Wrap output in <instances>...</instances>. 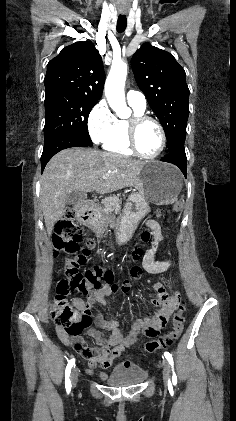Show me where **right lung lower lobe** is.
Returning a JSON list of instances; mask_svg holds the SVG:
<instances>
[{"mask_svg": "<svg viewBox=\"0 0 236 421\" xmlns=\"http://www.w3.org/2000/svg\"><path fill=\"white\" fill-rule=\"evenodd\" d=\"M86 142H82L74 137L60 135L56 136L48 142L44 143L43 153L41 156V168L42 172L47 162L59 151L70 148V147H89Z\"/></svg>", "mask_w": 236, "mask_h": 421, "instance_id": "obj_1", "label": "right lung lower lobe"}]
</instances>
